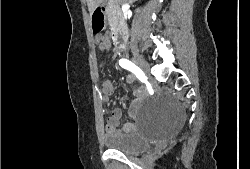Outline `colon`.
<instances>
[{
	"mask_svg": "<svg viewBox=\"0 0 250 169\" xmlns=\"http://www.w3.org/2000/svg\"><path fill=\"white\" fill-rule=\"evenodd\" d=\"M105 30V20L103 12L100 9H96L92 14V31L95 34H99ZM170 145H174V142H170Z\"/></svg>",
	"mask_w": 250,
	"mask_h": 169,
	"instance_id": "colon-1",
	"label": "colon"
}]
</instances>
